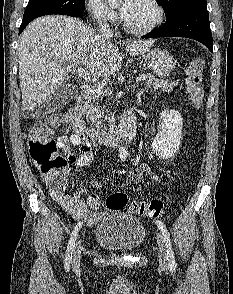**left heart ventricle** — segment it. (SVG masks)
I'll use <instances>...</instances> for the list:
<instances>
[{
	"mask_svg": "<svg viewBox=\"0 0 233 294\" xmlns=\"http://www.w3.org/2000/svg\"><path fill=\"white\" fill-rule=\"evenodd\" d=\"M124 18L134 27H143L154 20L155 10L147 0H136L134 6Z\"/></svg>",
	"mask_w": 233,
	"mask_h": 294,
	"instance_id": "1",
	"label": "left heart ventricle"
}]
</instances>
